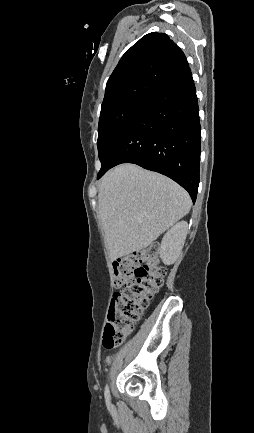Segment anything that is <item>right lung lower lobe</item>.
<instances>
[{"instance_id": "98d812e1", "label": "right lung lower lobe", "mask_w": 254, "mask_h": 433, "mask_svg": "<svg viewBox=\"0 0 254 433\" xmlns=\"http://www.w3.org/2000/svg\"><path fill=\"white\" fill-rule=\"evenodd\" d=\"M199 108L191 70L161 86L116 141L97 178L121 163H134L166 175L195 202L200 166Z\"/></svg>"}]
</instances>
